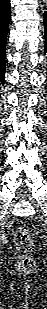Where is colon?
I'll return each mask as SVG.
<instances>
[{"instance_id":"5ec220e1","label":"colon","mask_w":47,"mask_h":309,"mask_svg":"<svg viewBox=\"0 0 47 309\" xmlns=\"http://www.w3.org/2000/svg\"><path fill=\"white\" fill-rule=\"evenodd\" d=\"M14 244L16 250L20 253L17 260L18 267L25 272L32 271L36 266V262L34 258L29 256L33 249L31 231L24 226L18 227L14 232Z\"/></svg>"}]
</instances>
